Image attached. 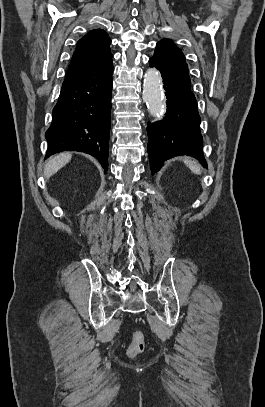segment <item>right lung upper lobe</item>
Instances as JSON below:
<instances>
[{"label":"right lung upper lobe","mask_w":265,"mask_h":407,"mask_svg":"<svg viewBox=\"0 0 265 407\" xmlns=\"http://www.w3.org/2000/svg\"><path fill=\"white\" fill-rule=\"evenodd\" d=\"M111 39L102 29L91 30L76 45L66 75L74 73L110 54Z\"/></svg>","instance_id":"obj_1"}]
</instances>
